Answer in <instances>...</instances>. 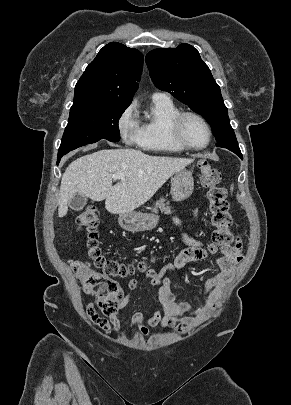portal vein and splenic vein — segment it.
Instances as JSON below:
<instances>
[{
  "instance_id": "portal-vein-and-splenic-vein-1",
  "label": "portal vein and splenic vein",
  "mask_w": 291,
  "mask_h": 405,
  "mask_svg": "<svg viewBox=\"0 0 291 405\" xmlns=\"http://www.w3.org/2000/svg\"><path fill=\"white\" fill-rule=\"evenodd\" d=\"M112 178H113L114 180H119V179L123 180V179H124V174H123V173H117V174H114V175L112 176Z\"/></svg>"
}]
</instances>
